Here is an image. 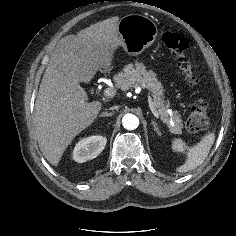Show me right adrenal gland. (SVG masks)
I'll use <instances>...</instances> for the list:
<instances>
[{
	"instance_id": "1",
	"label": "right adrenal gland",
	"mask_w": 236,
	"mask_h": 236,
	"mask_svg": "<svg viewBox=\"0 0 236 236\" xmlns=\"http://www.w3.org/2000/svg\"><path fill=\"white\" fill-rule=\"evenodd\" d=\"M113 113H108V112H104L100 115V117H109V116H112Z\"/></svg>"
}]
</instances>
